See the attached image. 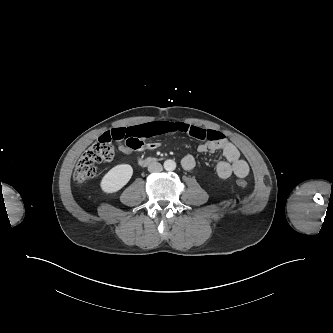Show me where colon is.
I'll return each instance as SVG.
<instances>
[{
    "instance_id": "1",
    "label": "colon",
    "mask_w": 333,
    "mask_h": 333,
    "mask_svg": "<svg viewBox=\"0 0 333 333\" xmlns=\"http://www.w3.org/2000/svg\"><path fill=\"white\" fill-rule=\"evenodd\" d=\"M113 157L114 148L111 141L100 137L80 157L74 171V180L79 184L88 182L96 175L98 165L110 162ZM237 184L243 188L247 185L242 179L237 180Z\"/></svg>"
}]
</instances>
